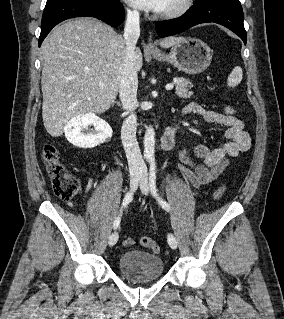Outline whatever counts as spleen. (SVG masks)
Listing matches in <instances>:
<instances>
[{"label": "spleen", "instance_id": "1", "mask_svg": "<svg viewBox=\"0 0 284 319\" xmlns=\"http://www.w3.org/2000/svg\"><path fill=\"white\" fill-rule=\"evenodd\" d=\"M243 72L240 66H236L227 79V85L229 87H235L240 84L242 80Z\"/></svg>", "mask_w": 284, "mask_h": 319}]
</instances>
